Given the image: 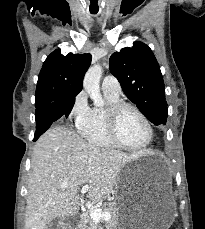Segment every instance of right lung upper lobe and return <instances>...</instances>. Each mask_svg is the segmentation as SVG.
I'll list each match as a JSON object with an SVG mask.
<instances>
[{
  "mask_svg": "<svg viewBox=\"0 0 205 229\" xmlns=\"http://www.w3.org/2000/svg\"><path fill=\"white\" fill-rule=\"evenodd\" d=\"M91 63L90 54L62 55L53 51L40 71L36 101L76 96L82 90L83 77Z\"/></svg>",
  "mask_w": 205,
  "mask_h": 229,
  "instance_id": "cb5924a9",
  "label": "right lung upper lobe"
}]
</instances>
